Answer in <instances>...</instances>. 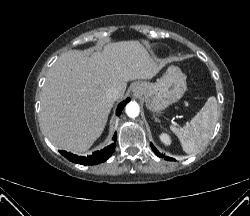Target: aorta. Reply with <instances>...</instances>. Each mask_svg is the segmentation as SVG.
<instances>
[{
    "instance_id": "aorta-1",
    "label": "aorta",
    "mask_w": 250,
    "mask_h": 216,
    "mask_svg": "<svg viewBox=\"0 0 250 216\" xmlns=\"http://www.w3.org/2000/svg\"><path fill=\"white\" fill-rule=\"evenodd\" d=\"M125 111L129 117L135 118L139 115L140 108L136 102H130L126 105Z\"/></svg>"
}]
</instances>
